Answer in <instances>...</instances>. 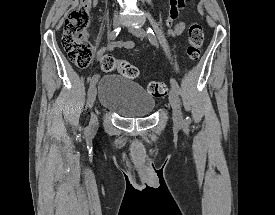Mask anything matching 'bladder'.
I'll return each instance as SVG.
<instances>
[{
	"label": "bladder",
	"mask_w": 275,
	"mask_h": 215,
	"mask_svg": "<svg viewBox=\"0 0 275 215\" xmlns=\"http://www.w3.org/2000/svg\"><path fill=\"white\" fill-rule=\"evenodd\" d=\"M98 94L100 104L121 117H146L155 108V101L140 85L120 75L99 77Z\"/></svg>",
	"instance_id": "1"
}]
</instances>
